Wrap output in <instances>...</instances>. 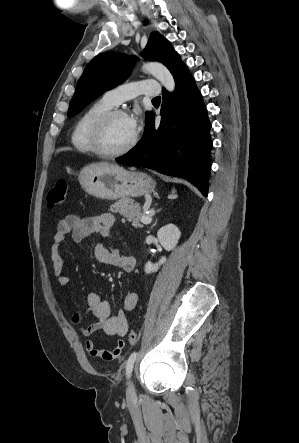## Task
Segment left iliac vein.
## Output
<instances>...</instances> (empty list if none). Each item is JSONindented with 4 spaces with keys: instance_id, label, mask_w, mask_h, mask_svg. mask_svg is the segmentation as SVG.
I'll use <instances>...</instances> for the list:
<instances>
[{
    "instance_id": "1",
    "label": "left iliac vein",
    "mask_w": 299,
    "mask_h": 443,
    "mask_svg": "<svg viewBox=\"0 0 299 443\" xmlns=\"http://www.w3.org/2000/svg\"><path fill=\"white\" fill-rule=\"evenodd\" d=\"M135 395V387H134V383L132 380H129L128 385H127V397L129 399L133 398Z\"/></svg>"
}]
</instances>
